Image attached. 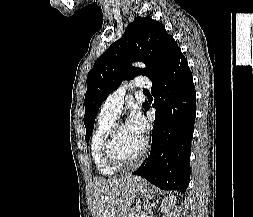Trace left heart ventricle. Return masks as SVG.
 Instances as JSON below:
<instances>
[{
	"label": "left heart ventricle",
	"instance_id": "obj_1",
	"mask_svg": "<svg viewBox=\"0 0 253 217\" xmlns=\"http://www.w3.org/2000/svg\"><path fill=\"white\" fill-rule=\"evenodd\" d=\"M144 140L135 135L127 125L119 127L114 141V150L123 160H131L140 151Z\"/></svg>",
	"mask_w": 253,
	"mask_h": 217
}]
</instances>
